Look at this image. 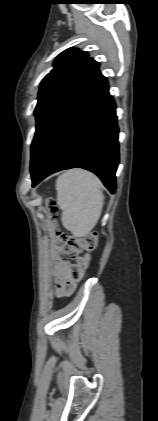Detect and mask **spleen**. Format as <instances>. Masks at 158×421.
I'll return each mask as SVG.
<instances>
[{
	"instance_id": "obj_1",
	"label": "spleen",
	"mask_w": 158,
	"mask_h": 421,
	"mask_svg": "<svg viewBox=\"0 0 158 421\" xmlns=\"http://www.w3.org/2000/svg\"><path fill=\"white\" fill-rule=\"evenodd\" d=\"M103 185L94 174L73 169L56 181L57 203L63 226L75 236H85L96 225L103 206Z\"/></svg>"
}]
</instances>
